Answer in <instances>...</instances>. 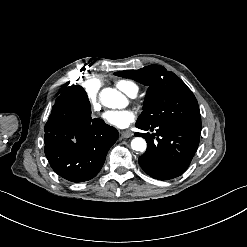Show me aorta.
<instances>
[{"mask_svg": "<svg viewBox=\"0 0 247 247\" xmlns=\"http://www.w3.org/2000/svg\"><path fill=\"white\" fill-rule=\"evenodd\" d=\"M101 103L108 108H120L124 106L125 97L116 89L105 88L100 93ZM134 151L144 152L147 148L146 141L141 137H136L131 141Z\"/></svg>", "mask_w": 247, "mask_h": 247, "instance_id": "762f6f07", "label": "aorta"}]
</instances>
